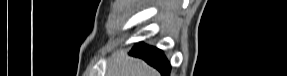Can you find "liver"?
<instances>
[{"instance_id": "1", "label": "liver", "mask_w": 287, "mask_h": 76, "mask_svg": "<svg viewBox=\"0 0 287 76\" xmlns=\"http://www.w3.org/2000/svg\"><path fill=\"white\" fill-rule=\"evenodd\" d=\"M107 76H159V73L143 60L130 57L123 50L112 55Z\"/></svg>"}]
</instances>
